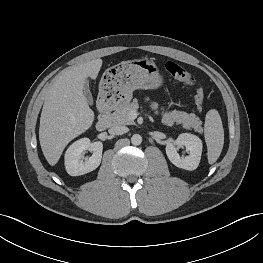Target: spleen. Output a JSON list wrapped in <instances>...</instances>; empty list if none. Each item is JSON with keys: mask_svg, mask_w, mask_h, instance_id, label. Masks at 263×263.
I'll use <instances>...</instances> for the list:
<instances>
[{"mask_svg": "<svg viewBox=\"0 0 263 263\" xmlns=\"http://www.w3.org/2000/svg\"><path fill=\"white\" fill-rule=\"evenodd\" d=\"M204 136L207 145L208 162L213 164L219 158L224 145L222 120L216 109H211L206 114Z\"/></svg>", "mask_w": 263, "mask_h": 263, "instance_id": "spleen-1", "label": "spleen"}]
</instances>
